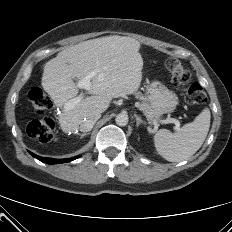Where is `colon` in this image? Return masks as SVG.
Segmentation results:
<instances>
[{
	"mask_svg": "<svg viewBox=\"0 0 232 232\" xmlns=\"http://www.w3.org/2000/svg\"><path fill=\"white\" fill-rule=\"evenodd\" d=\"M166 68L171 81L176 87H185L186 99L190 104H203L207 101V95L202 86L197 82H191L189 69L176 58L166 61ZM28 99L38 114L45 113L53 106L52 100L40 87H33L28 92ZM54 122L50 118L30 120L26 126V132L31 138L40 142H50L54 137Z\"/></svg>",
	"mask_w": 232,
	"mask_h": 232,
	"instance_id": "5ec220e1",
	"label": "colon"
}]
</instances>
